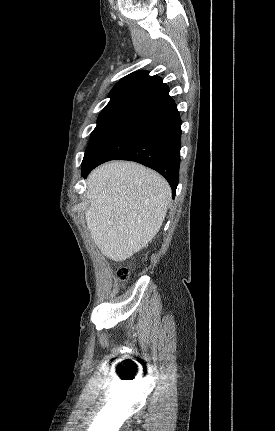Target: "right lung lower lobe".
Masks as SVG:
<instances>
[{"mask_svg": "<svg viewBox=\"0 0 275 431\" xmlns=\"http://www.w3.org/2000/svg\"><path fill=\"white\" fill-rule=\"evenodd\" d=\"M181 119L173 99L165 96L137 110L84 168L86 177L110 160H129L159 172L175 197L179 181Z\"/></svg>", "mask_w": 275, "mask_h": 431, "instance_id": "obj_1", "label": "right lung lower lobe"}]
</instances>
